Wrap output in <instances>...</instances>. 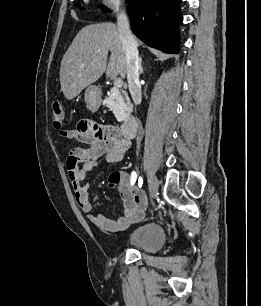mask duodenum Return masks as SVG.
Segmentation results:
<instances>
[{
  "label": "duodenum",
  "instance_id": "1",
  "mask_svg": "<svg viewBox=\"0 0 261 306\" xmlns=\"http://www.w3.org/2000/svg\"><path fill=\"white\" fill-rule=\"evenodd\" d=\"M137 125L136 117L129 115L123 120L120 127V132L125 138L131 139L134 137L137 131Z\"/></svg>",
  "mask_w": 261,
  "mask_h": 306
}]
</instances>
